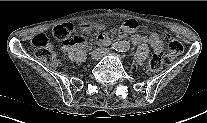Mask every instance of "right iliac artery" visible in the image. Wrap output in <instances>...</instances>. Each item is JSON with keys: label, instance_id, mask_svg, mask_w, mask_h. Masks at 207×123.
<instances>
[{"label": "right iliac artery", "instance_id": "obj_1", "mask_svg": "<svg viewBox=\"0 0 207 123\" xmlns=\"http://www.w3.org/2000/svg\"><path fill=\"white\" fill-rule=\"evenodd\" d=\"M112 48H113V49H117V48H125V44H123V43H119V44H117V45H114Z\"/></svg>", "mask_w": 207, "mask_h": 123}]
</instances>
